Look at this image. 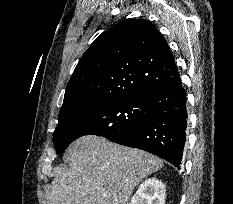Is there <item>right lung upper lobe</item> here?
I'll return each mask as SVG.
<instances>
[{
    "label": "right lung upper lobe",
    "mask_w": 233,
    "mask_h": 204,
    "mask_svg": "<svg viewBox=\"0 0 233 204\" xmlns=\"http://www.w3.org/2000/svg\"><path fill=\"white\" fill-rule=\"evenodd\" d=\"M177 71L165 38L144 19H126L86 50L67 84L58 125L109 102L150 95Z\"/></svg>",
    "instance_id": "right-lung-upper-lobe-1"
}]
</instances>
